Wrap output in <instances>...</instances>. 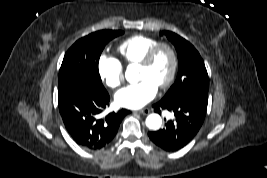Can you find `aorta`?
Returning <instances> with one entry per match:
<instances>
[{"label":"aorta","mask_w":267,"mask_h":178,"mask_svg":"<svg viewBox=\"0 0 267 178\" xmlns=\"http://www.w3.org/2000/svg\"><path fill=\"white\" fill-rule=\"evenodd\" d=\"M126 78L128 81L132 82L134 79V73L131 69L126 71ZM162 119L158 114H150L146 118V126L151 130H158L161 127Z\"/></svg>","instance_id":"1"}]
</instances>
